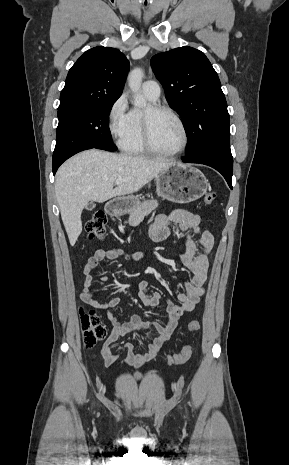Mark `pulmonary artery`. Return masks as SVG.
<instances>
[{
	"label": "pulmonary artery",
	"mask_w": 289,
	"mask_h": 465,
	"mask_svg": "<svg viewBox=\"0 0 289 465\" xmlns=\"http://www.w3.org/2000/svg\"><path fill=\"white\" fill-rule=\"evenodd\" d=\"M143 92L151 100L156 101L160 97V86L154 80L145 81L142 85Z\"/></svg>",
	"instance_id": "obj_1"
}]
</instances>
